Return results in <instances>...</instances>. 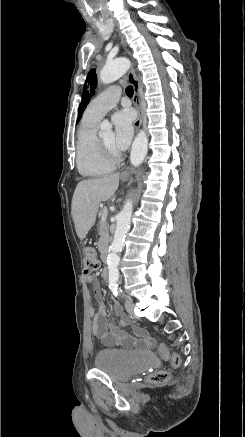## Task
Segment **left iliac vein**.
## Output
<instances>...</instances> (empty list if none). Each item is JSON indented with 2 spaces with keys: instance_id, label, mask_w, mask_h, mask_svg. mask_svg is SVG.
I'll list each match as a JSON object with an SVG mask.
<instances>
[{
  "instance_id": "obj_1",
  "label": "left iliac vein",
  "mask_w": 245,
  "mask_h": 437,
  "mask_svg": "<svg viewBox=\"0 0 245 437\" xmlns=\"http://www.w3.org/2000/svg\"><path fill=\"white\" fill-rule=\"evenodd\" d=\"M125 307H126V310H127L128 314L131 317H136V315L134 313V304H133V302H132L130 297L126 298Z\"/></svg>"
}]
</instances>
